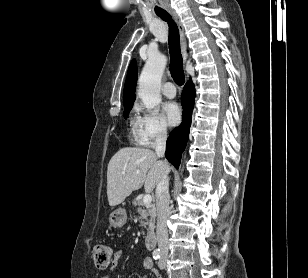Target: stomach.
Segmentation results:
<instances>
[{
  "label": "stomach",
  "instance_id": "1",
  "mask_svg": "<svg viewBox=\"0 0 308 278\" xmlns=\"http://www.w3.org/2000/svg\"><path fill=\"white\" fill-rule=\"evenodd\" d=\"M127 221V214L125 209H117L110 214L109 224L110 227H122Z\"/></svg>",
  "mask_w": 308,
  "mask_h": 278
}]
</instances>
